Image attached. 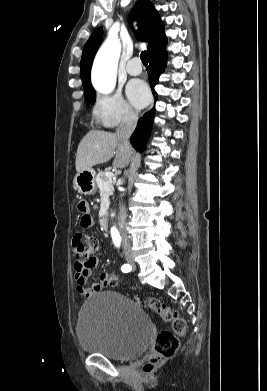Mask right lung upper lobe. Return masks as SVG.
<instances>
[{"mask_svg": "<svg viewBox=\"0 0 267 391\" xmlns=\"http://www.w3.org/2000/svg\"><path fill=\"white\" fill-rule=\"evenodd\" d=\"M136 18L139 24V32L136 34L141 41L148 42V57L157 53L167 45V37L164 32V24L160 19L157 10L149 0H138L129 16V23L132 26L133 19ZM103 29L97 28L91 34L84 48L80 75L85 89V93L94 90L91 85L90 71L94 56L101 44Z\"/></svg>", "mask_w": 267, "mask_h": 391, "instance_id": "right-lung-upper-lobe-1", "label": "right lung upper lobe"}]
</instances>
